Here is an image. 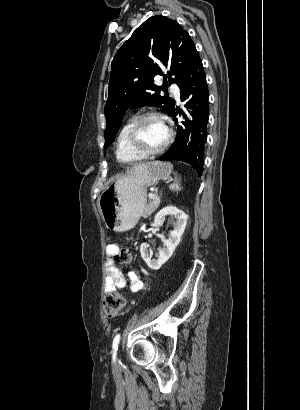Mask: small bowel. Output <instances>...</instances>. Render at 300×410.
Instances as JSON below:
<instances>
[{"instance_id":"small-bowel-1","label":"small bowel","mask_w":300,"mask_h":410,"mask_svg":"<svg viewBox=\"0 0 300 410\" xmlns=\"http://www.w3.org/2000/svg\"><path fill=\"white\" fill-rule=\"evenodd\" d=\"M118 251V245L108 244L106 247V279L104 283L105 292H115L119 289L129 288L138 293L145 290L147 282L142 280L134 272L123 273L114 263L113 256Z\"/></svg>"}]
</instances>
